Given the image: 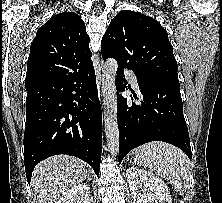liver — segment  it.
Segmentation results:
<instances>
[{"mask_svg":"<svg viewBox=\"0 0 222 203\" xmlns=\"http://www.w3.org/2000/svg\"><path fill=\"white\" fill-rule=\"evenodd\" d=\"M87 176V164L78 158L56 155L43 160L34 168L31 177L35 203H58Z\"/></svg>","mask_w":222,"mask_h":203,"instance_id":"liver-1","label":"liver"}]
</instances>
